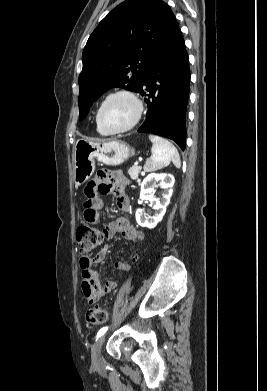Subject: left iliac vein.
Segmentation results:
<instances>
[{"label": "left iliac vein", "mask_w": 267, "mask_h": 391, "mask_svg": "<svg viewBox=\"0 0 267 391\" xmlns=\"http://www.w3.org/2000/svg\"><path fill=\"white\" fill-rule=\"evenodd\" d=\"M105 335L103 334L100 336L95 343L92 346L91 349V358H92V365L97 370H102L104 367V360L101 355V348L105 341Z\"/></svg>", "instance_id": "obj_1"}]
</instances>
